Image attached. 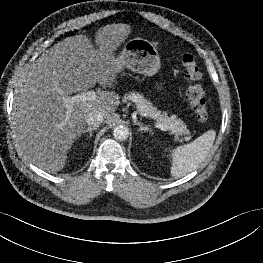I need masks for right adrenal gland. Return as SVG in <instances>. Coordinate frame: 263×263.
Masks as SVG:
<instances>
[{"mask_svg":"<svg viewBox=\"0 0 263 263\" xmlns=\"http://www.w3.org/2000/svg\"><path fill=\"white\" fill-rule=\"evenodd\" d=\"M97 128L93 127H88L87 129L83 130L82 131V134H86V133H89V137L91 138L92 137V131H95Z\"/></svg>","mask_w":263,"mask_h":263,"instance_id":"1","label":"right adrenal gland"}]
</instances>
